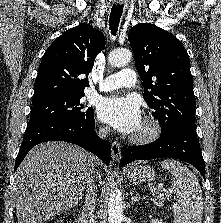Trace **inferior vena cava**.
Listing matches in <instances>:
<instances>
[{
  "label": "inferior vena cava",
  "mask_w": 221,
  "mask_h": 223,
  "mask_svg": "<svg viewBox=\"0 0 221 223\" xmlns=\"http://www.w3.org/2000/svg\"><path fill=\"white\" fill-rule=\"evenodd\" d=\"M108 134V128L103 127L98 131V135L101 138H106ZM97 191V186L94 184V177H89L87 180V194L85 199V205L83 208V223H90L91 219L94 217L93 212L95 210V195Z\"/></svg>",
  "instance_id": "1"
}]
</instances>
